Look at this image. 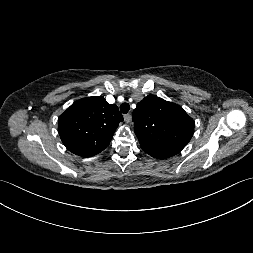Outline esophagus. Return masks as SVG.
Here are the masks:
<instances>
[{
    "instance_id": "34e87169",
    "label": "esophagus",
    "mask_w": 253,
    "mask_h": 253,
    "mask_svg": "<svg viewBox=\"0 0 253 253\" xmlns=\"http://www.w3.org/2000/svg\"><path fill=\"white\" fill-rule=\"evenodd\" d=\"M130 120H131V115H130V114H126V115L124 116V121H125L126 123H129Z\"/></svg>"
}]
</instances>
